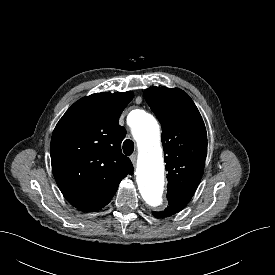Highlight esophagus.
<instances>
[{
  "label": "esophagus",
  "mask_w": 275,
  "mask_h": 275,
  "mask_svg": "<svg viewBox=\"0 0 275 275\" xmlns=\"http://www.w3.org/2000/svg\"><path fill=\"white\" fill-rule=\"evenodd\" d=\"M136 159H137V155L136 154H132L131 156H130V160L132 161V163L135 165V163H136Z\"/></svg>",
  "instance_id": "esophagus-1"
}]
</instances>
